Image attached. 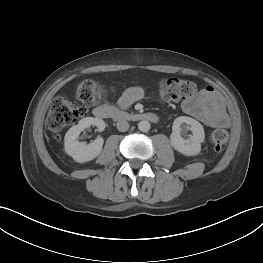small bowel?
<instances>
[{
  "instance_id": "small-bowel-1",
  "label": "small bowel",
  "mask_w": 263,
  "mask_h": 263,
  "mask_svg": "<svg viewBox=\"0 0 263 263\" xmlns=\"http://www.w3.org/2000/svg\"><path fill=\"white\" fill-rule=\"evenodd\" d=\"M144 90L139 87L128 88L119 99L122 108H128L142 99ZM183 111L209 127H228L229 117L223 101L212 86H206L193 97L182 103Z\"/></svg>"
}]
</instances>
